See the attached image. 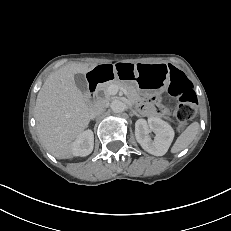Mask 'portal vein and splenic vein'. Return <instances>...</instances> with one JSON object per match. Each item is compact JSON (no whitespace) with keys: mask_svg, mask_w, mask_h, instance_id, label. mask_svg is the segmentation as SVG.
<instances>
[{"mask_svg":"<svg viewBox=\"0 0 231 231\" xmlns=\"http://www.w3.org/2000/svg\"><path fill=\"white\" fill-rule=\"evenodd\" d=\"M118 91H119V87L116 86V85H112V86H110V88H109V92H110V94H112V95L117 94ZM123 93H124V94H127V91H126L125 89H123Z\"/></svg>","mask_w":231,"mask_h":231,"instance_id":"1","label":"portal vein and splenic vein"}]
</instances>
